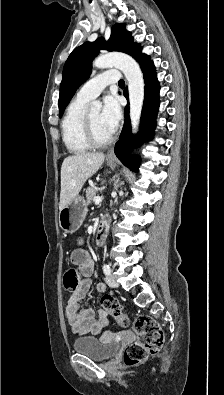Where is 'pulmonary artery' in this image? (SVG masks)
<instances>
[{"label": "pulmonary artery", "mask_w": 224, "mask_h": 395, "mask_svg": "<svg viewBox=\"0 0 224 395\" xmlns=\"http://www.w3.org/2000/svg\"><path fill=\"white\" fill-rule=\"evenodd\" d=\"M120 75L118 70L110 69L87 81L77 92L81 100L90 101L95 99L109 84L118 82Z\"/></svg>", "instance_id": "pulmonary-artery-1"}]
</instances>
